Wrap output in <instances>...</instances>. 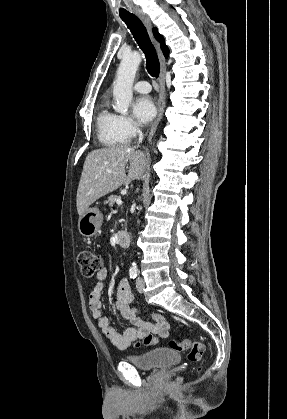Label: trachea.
Returning a JSON list of instances; mask_svg holds the SVG:
<instances>
[{"label":"trachea","instance_id":"trachea-1","mask_svg":"<svg viewBox=\"0 0 287 419\" xmlns=\"http://www.w3.org/2000/svg\"><path fill=\"white\" fill-rule=\"evenodd\" d=\"M120 17L130 29L134 39L145 54L148 73L152 77H158L160 72L159 59L145 26L134 14H123Z\"/></svg>","mask_w":287,"mask_h":419}]
</instances>
